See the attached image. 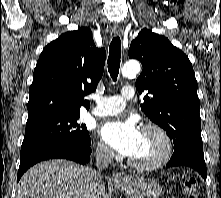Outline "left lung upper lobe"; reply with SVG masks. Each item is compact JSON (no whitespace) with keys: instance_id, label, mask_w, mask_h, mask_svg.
Instances as JSON below:
<instances>
[{"instance_id":"1","label":"left lung upper lobe","mask_w":221,"mask_h":198,"mask_svg":"<svg viewBox=\"0 0 221 198\" xmlns=\"http://www.w3.org/2000/svg\"><path fill=\"white\" fill-rule=\"evenodd\" d=\"M129 57L143 66L135 85L140 94L148 90L149 95L144 96L141 110L166 131L175 151L203 150L197 81L188 57L148 29L131 42Z\"/></svg>"}]
</instances>
